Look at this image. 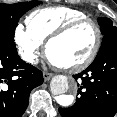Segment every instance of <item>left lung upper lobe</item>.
<instances>
[{"mask_svg": "<svg viewBox=\"0 0 117 117\" xmlns=\"http://www.w3.org/2000/svg\"><path fill=\"white\" fill-rule=\"evenodd\" d=\"M101 33L104 35L102 44L98 54L104 51L113 42L117 41V27L113 25V22L109 18H98Z\"/></svg>", "mask_w": 117, "mask_h": 117, "instance_id": "5c2ea615", "label": "left lung upper lobe"}]
</instances>
